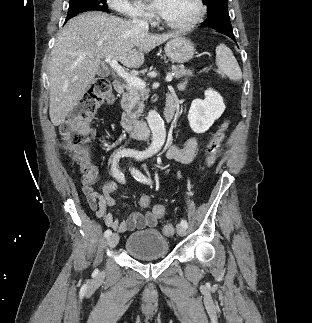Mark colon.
Returning a JSON list of instances; mask_svg holds the SVG:
<instances>
[{"instance_id": "obj_1", "label": "colon", "mask_w": 312, "mask_h": 323, "mask_svg": "<svg viewBox=\"0 0 312 323\" xmlns=\"http://www.w3.org/2000/svg\"><path fill=\"white\" fill-rule=\"evenodd\" d=\"M113 100L114 95L109 80L105 77L95 78L91 83V90L82 98V107L79 106L74 111L69 121L62 123L63 147L70 153L71 160L81 167L87 168L90 166V152L87 146L94 135L93 130L90 128L93 115L99 106L111 104ZM228 128L229 122L224 121L212 135L206 150L205 165L207 167L213 166L216 162ZM149 202L150 198L148 196L140 197L139 203L142 207L148 206ZM154 211L155 213H164L165 208L162 204H159V206H155ZM174 230V225L171 223H166L162 227V232L165 235H172Z\"/></svg>"}]
</instances>
